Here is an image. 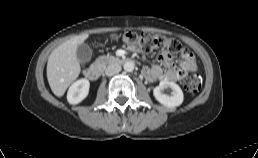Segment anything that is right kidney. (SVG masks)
Segmentation results:
<instances>
[{
    "label": "right kidney",
    "instance_id": "right-kidney-1",
    "mask_svg": "<svg viewBox=\"0 0 258 158\" xmlns=\"http://www.w3.org/2000/svg\"><path fill=\"white\" fill-rule=\"evenodd\" d=\"M89 80L82 78L74 82L67 93V100L70 104L75 105L83 101L89 93Z\"/></svg>",
    "mask_w": 258,
    "mask_h": 158
}]
</instances>
